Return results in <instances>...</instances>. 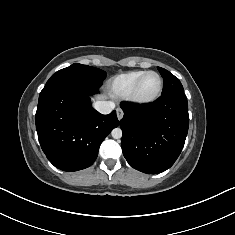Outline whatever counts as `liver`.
Returning <instances> with one entry per match:
<instances>
[{"label": "liver", "mask_w": 235, "mask_h": 235, "mask_svg": "<svg viewBox=\"0 0 235 235\" xmlns=\"http://www.w3.org/2000/svg\"><path fill=\"white\" fill-rule=\"evenodd\" d=\"M103 97V95L97 96L98 99H102Z\"/></svg>", "instance_id": "obj_1"}]
</instances>
